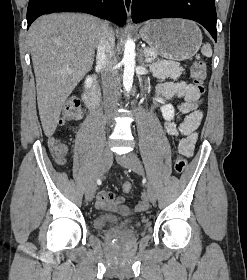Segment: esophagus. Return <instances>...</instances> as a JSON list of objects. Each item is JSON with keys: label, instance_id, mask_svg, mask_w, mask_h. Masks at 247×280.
Segmentation results:
<instances>
[{"label": "esophagus", "instance_id": "34e87169", "mask_svg": "<svg viewBox=\"0 0 247 280\" xmlns=\"http://www.w3.org/2000/svg\"><path fill=\"white\" fill-rule=\"evenodd\" d=\"M123 3H124L125 10H126V14L128 17H130L132 0H123Z\"/></svg>", "mask_w": 247, "mask_h": 280}]
</instances>
